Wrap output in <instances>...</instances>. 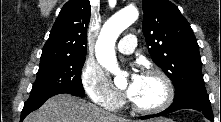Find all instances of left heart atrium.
Segmentation results:
<instances>
[{
  "mask_svg": "<svg viewBox=\"0 0 221 122\" xmlns=\"http://www.w3.org/2000/svg\"><path fill=\"white\" fill-rule=\"evenodd\" d=\"M140 79H141V76L138 75V74H132L131 78H130V82H129V86H128V89H127V95L129 97H132L133 94L135 93L137 87H138V84L140 82Z\"/></svg>",
  "mask_w": 221,
  "mask_h": 122,
  "instance_id": "39dd6f15",
  "label": "left heart atrium"
}]
</instances>
